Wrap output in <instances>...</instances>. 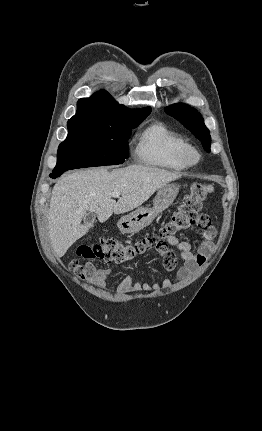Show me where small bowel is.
<instances>
[{"label":"small bowel","instance_id":"obj_1","mask_svg":"<svg viewBox=\"0 0 262 431\" xmlns=\"http://www.w3.org/2000/svg\"><path fill=\"white\" fill-rule=\"evenodd\" d=\"M199 229L204 237V241L196 250L184 239L176 236L168 237V243L177 248L179 257L173 252L164 253L162 254V262L168 273L177 272V279L179 281H187L197 273L199 268L206 262L208 253L213 247L215 230L212 227L211 218L208 215H204L199 221ZM179 258L182 262L180 267H178ZM88 265L90 269L82 275V278L90 284L104 287L108 277L112 274V270L110 268H96L91 263H88ZM173 284L174 280L170 275L166 276L159 283L136 281L132 276L128 275L119 281L118 287L122 293H149L152 291L169 289Z\"/></svg>","mask_w":262,"mask_h":431}]
</instances>
